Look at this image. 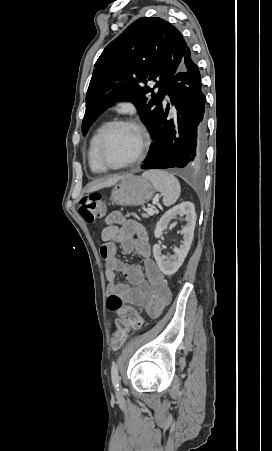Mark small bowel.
I'll return each mask as SVG.
<instances>
[{"label":"small bowel","instance_id":"obj_1","mask_svg":"<svg viewBox=\"0 0 272 451\" xmlns=\"http://www.w3.org/2000/svg\"><path fill=\"white\" fill-rule=\"evenodd\" d=\"M101 240L99 252L105 262V278L109 282L107 294L119 295L125 302L146 310L150 316H159L170 303L172 294L152 258L145 229L113 212L106 218ZM117 245L125 254L138 255L141 262H124L118 256ZM117 274L123 275L126 283H117Z\"/></svg>","mask_w":272,"mask_h":451}]
</instances>
